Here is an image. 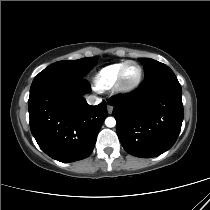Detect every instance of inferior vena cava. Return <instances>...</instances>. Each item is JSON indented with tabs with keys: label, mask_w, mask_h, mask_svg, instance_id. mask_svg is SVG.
Listing matches in <instances>:
<instances>
[{
	"label": "inferior vena cava",
	"mask_w": 210,
	"mask_h": 210,
	"mask_svg": "<svg viewBox=\"0 0 210 210\" xmlns=\"http://www.w3.org/2000/svg\"><path fill=\"white\" fill-rule=\"evenodd\" d=\"M86 101L89 105H97L101 102V100L98 97L92 95L87 96Z\"/></svg>",
	"instance_id": "1"
}]
</instances>
